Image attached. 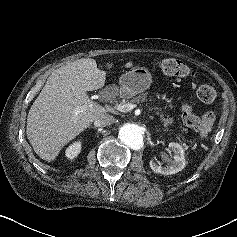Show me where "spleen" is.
Returning <instances> with one entry per match:
<instances>
[{
  "mask_svg": "<svg viewBox=\"0 0 237 237\" xmlns=\"http://www.w3.org/2000/svg\"><path fill=\"white\" fill-rule=\"evenodd\" d=\"M212 130V124H206L205 128L201 129L200 137L205 138L207 134Z\"/></svg>",
  "mask_w": 237,
  "mask_h": 237,
  "instance_id": "spleen-1",
  "label": "spleen"
}]
</instances>
